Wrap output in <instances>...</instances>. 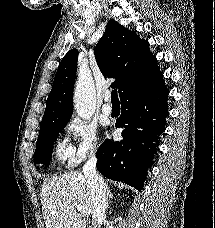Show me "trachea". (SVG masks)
<instances>
[{"label": "trachea", "mask_w": 215, "mask_h": 228, "mask_svg": "<svg viewBox=\"0 0 215 228\" xmlns=\"http://www.w3.org/2000/svg\"><path fill=\"white\" fill-rule=\"evenodd\" d=\"M111 100H112V103H113V104L120 103V102H119V99H118L117 90H113V91L111 92Z\"/></svg>", "instance_id": "1"}]
</instances>
